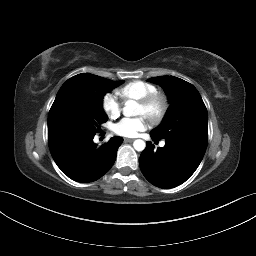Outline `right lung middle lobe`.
Segmentation results:
<instances>
[{"instance_id":"dd1d6c3e","label":"right lung middle lobe","mask_w":256,"mask_h":256,"mask_svg":"<svg viewBox=\"0 0 256 256\" xmlns=\"http://www.w3.org/2000/svg\"><path fill=\"white\" fill-rule=\"evenodd\" d=\"M75 77L83 83V91L77 97H65L53 103L48 129L94 134L101 131L100 125L108 120L102 107L103 96L123 81H111L89 73Z\"/></svg>"}]
</instances>
